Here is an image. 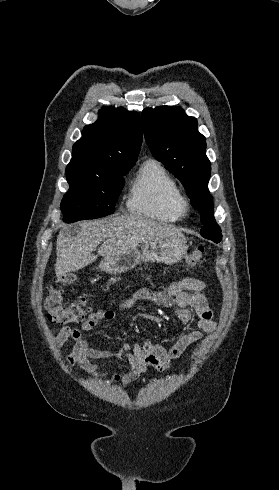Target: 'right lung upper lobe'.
Here are the masks:
<instances>
[{"label": "right lung upper lobe", "instance_id": "cb5924a9", "mask_svg": "<svg viewBox=\"0 0 279 490\" xmlns=\"http://www.w3.org/2000/svg\"><path fill=\"white\" fill-rule=\"evenodd\" d=\"M142 143V121L137 112L119 107H104L98 120L84 127L82 137L73 145L66 172L104 174L134 165Z\"/></svg>", "mask_w": 279, "mask_h": 490}]
</instances>
